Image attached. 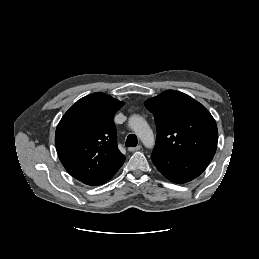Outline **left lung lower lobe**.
<instances>
[{"label": "left lung lower lobe", "instance_id": "obj_1", "mask_svg": "<svg viewBox=\"0 0 259 259\" xmlns=\"http://www.w3.org/2000/svg\"><path fill=\"white\" fill-rule=\"evenodd\" d=\"M151 159L156 168L174 183H185L198 177L210 161L181 159L153 150Z\"/></svg>", "mask_w": 259, "mask_h": 259}]
</instances>
